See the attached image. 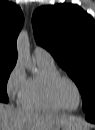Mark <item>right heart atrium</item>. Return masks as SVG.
Wrapping results in <instances>:
<instances>
[{
    "label": "right heart atrium",
    "mask_w": 95,
    "mask_h": 130,
    "mask_svg": "<svg viewBox=\"0 0 95 130\" xmlns=\"http://www.w3.org/2000/svg\"><path fill=\"white\" fill-rule=\"evenodd\" d=\"M27 77L24 67L17 62L10 70L6 79V91L10 99L20 102L25 90Z\"/></svg>",
    "instance_id": "right-heart-atrium-1"
}]
</instances>
